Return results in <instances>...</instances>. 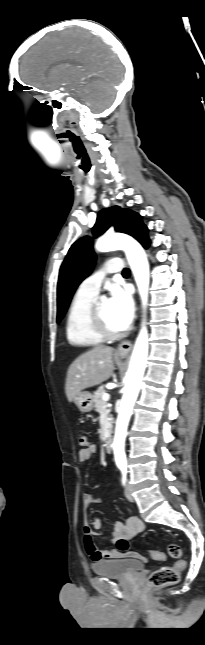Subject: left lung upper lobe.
I'll use <instances>...</instances> for the list:
<instances>
[{
	"label": "left lung upper lobe",
	"mask_w": 205,
	"mask_h": 645,
	"mask_svg": "<svg viewBox=\"0 0 205 645\" xmlns=\"http://www.w3.org/2000/svg\"><path fill=\"white\" fill-rule=\"evenodd\" d=\"M141 216L132 210L113 206L99 212L97 221L92 228V234L97 237L110 226L118 232L126 233L139 242L148 229L143 224ZM96 260L92 239L85 236L77 240L69 249L59 272L57 286V322L63 318L71 298L81 283L92 271Z\"/></svg>",
	"instance_id": "5c2ea615"
}]
</instances>
